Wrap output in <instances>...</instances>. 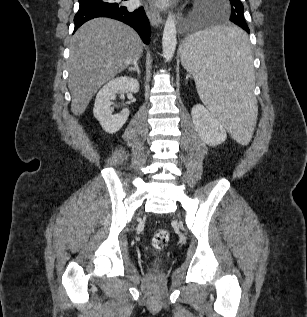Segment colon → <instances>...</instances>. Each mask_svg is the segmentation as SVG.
<instances>
[{
	"instance_id": "colon-1",
	"label": "colon",
	"mask_w": 307,
	"mask_h": 317,
	"mask_svg": "<svg viewBox=\"0 0 307 317\" xmlns=\"http://www.w3.org/2000/svg\"><path fill=\"white\" fill-rule=\"evenodd\" d=\"M170 241V235L167 230L159 229L152 237V245L156 250H162L166 248Z\"/></svg>"
}]
</instances>
